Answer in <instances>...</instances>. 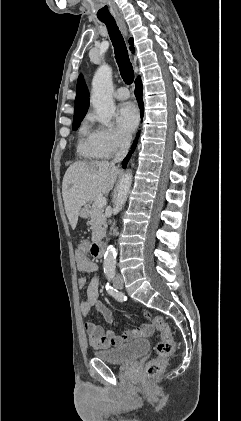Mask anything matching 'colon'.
Returning a JSON list of instances; mask_svg holds the SVG:
<instances>
[{"label": "colon", "instance_id": "5ec220e1", "mask_svg": "<svg viewBox=\"0 0 241 421\" xmlns=\"http://www.w3.org/2000/svg\"><path fill=\"white\" fill-rule=\"evenodd\" d=\"M77 252L81 255L92 254V244L85 239L80 240L77 245ZM152 324L159 331L160 340L156 345V357L146 365L147 378L156 377L164 370L166 362L172 356L175 347L170 326L164 318L159 315L154 316Z\"/></svg>", "mask_w": 241, "mask_h": 421}]
</instances>
